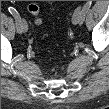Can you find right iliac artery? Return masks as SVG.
<instances>
[{
	"instance_id": "82829eb1",
	"label": "right iliac artery",
	"mask_w": 109,
	"mask_h": 109,
	"mask_svg": "<svg viewBox=\"0 0 109 109\" xmlns=\"http://www.w3.org/2000/svg\"><path fill=\"white\" fill-rule=\"evenodd\" d=\"M8 11L13 15V17L15 18L16 21V26H17V32L18 33H22V26L20 24V16L18 14V12L16 11V9H14L13 7H8Z\"/></svg>"
}]
</instances>
